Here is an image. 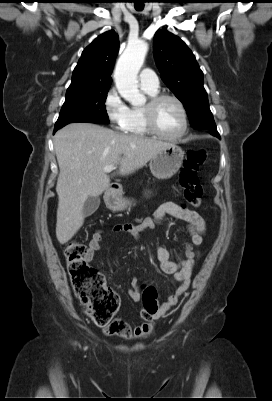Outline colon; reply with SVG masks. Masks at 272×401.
<instances>
[{"label": "colon", "instance_id": "obj_1", "mask_svg": "<svg viewBox=\"0 0 272 401\" xmlns=\"http://www.w3.org/2000/svg\"><path fill=\"white\" fill-rule=\"evenodd\" d=\"M206 160L204 149H193L187 153L179 184L185 200L194 207H199L203 194L197 175L198 169ZM86 246L77 240L69 241L64 249L68 273L77 299L86 306L87 314L93 322L110 330L112 318L119 307V296L106 286L104 276L85 259ZM144 311L153 314L158 309L157 292L148 286L142 293ZM108 333V332H107Z\"/></svg>", "mask_w": 272, "mask_h": 401}]
</instances>
